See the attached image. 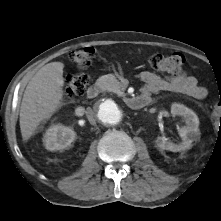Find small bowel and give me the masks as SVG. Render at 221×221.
<instances>
[{"label":"small bowel","mask_w":221,"mask_h":221,"mask_svg":"<svg viewBox=\"0 0 221 221\" xmlns=\"http://www.w3.org/2000/svg\"><path fill=\"white\" fill-rule=\"evenodd\" d=\"M140 79L144 83L143 94L169 91L186 94L198 100H203L208 95L207 89L199 85L197 79L187 72L163 79L152 72L144 71L140 74Z\"/></svg>","instance_id":"obj_1"}]
</instances>
